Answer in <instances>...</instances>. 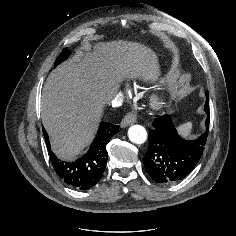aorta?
Listing matches in <instances>:
<instances>
[{
    "instance_id": "1",
    "label": "aorta",
    "mask_w": 236,
    "mask_h": 236,
    "mask_svg": "<svg viewBox=\"0 0 236 236\" xmlns=\"http://www.w3.org/2000/svg\"><path fill=\"white\" fill-rule=\"evenodd\" d=\"M128 138L132 143L143 144L147 140V131L141 125H132L128 129Z\"/></svg>"
}]
</instances>
